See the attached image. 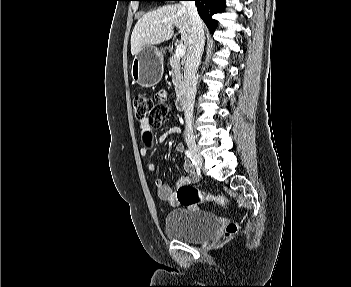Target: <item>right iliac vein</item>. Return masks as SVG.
I'll list each match as a JSON object with an SVG mask.
<instances>
[{"instance_id": "obj_1", "label": "right iliac vein", "mask_w": 351, "mask_h": 287, "mask_svg": "<svg viewBox=\"0 0 351 287\" xmlns=\"http://www.w3.org/2000/svg\"><path fill=\"white\" fill-rule=\"evenodd\" d=\"M187 146L189 148V150L192 152V154L194 155L197 164L201 167L203 164V158L202 155L200 153V150L198 148V146L196 145L194 139H187Z\"/></svg>"}]
</instances>
